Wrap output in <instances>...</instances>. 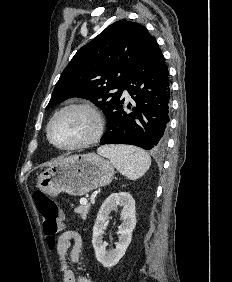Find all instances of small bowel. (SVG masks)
I'll return each mask as SVG.
<instances>
[{
    "label": "small bowel",
    "mask_w": 232,
    "mask_h": 282,
    "mask_svg": "<svg viewBox=\"0 0 232 282\" xmlns=\"http://www.w3.org/2000/svg\"><path fill=\"white\" fill-rule=\"evenodd\" d=\"M82 248L83 242L78 232L66 230L59 236L56 252L63 282H92L88 277L76 274L67 260L69 258L72 264H78L83 259Z\"/></svg>",
    "instance_id": "c3829d8e"
}]
</instances>
